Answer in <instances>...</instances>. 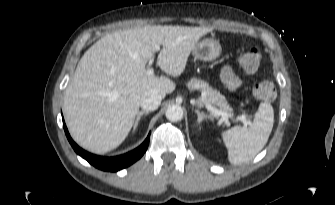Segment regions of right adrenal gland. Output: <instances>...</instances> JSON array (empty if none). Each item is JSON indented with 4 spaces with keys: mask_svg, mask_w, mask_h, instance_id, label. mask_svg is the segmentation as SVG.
I'll return each mask as SVG.
<instances>
[{
    "mask_svg": "<svg viewBox=\"0 0 335 205\" xmlns=\"http://www.w3.org/2000/svg\"><path fill=\"white\" fill-rule=\"evenodd\" d=\"M149 112L148 111H140L138 114H137V117H136V120H135V123H134V127H133V131H135L137 125H138V122L139 120L141 119V116L142 115H147Z\"/></svg>",
    "mask_w": 335,
    "mask_h": 205,
    "instance_id": "obj_1",
    "label": "right adrenal gland"
}]
</instances>
